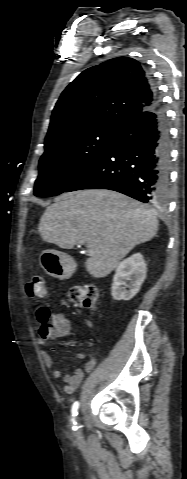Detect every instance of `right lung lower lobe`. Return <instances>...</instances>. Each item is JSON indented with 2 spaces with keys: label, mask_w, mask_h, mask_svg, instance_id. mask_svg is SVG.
Returning a JSON list of instances; mask_svg holds the SVG:
<instances>
[{
  "label": "right lung lower lobe",
  "mask_w": 187,
  "mask_h": 479,
  "mask_svg": "<svg viewBox=\"0 0 187 479\" xmlns=\"http://www.w3.org/2000/svg\"><path fill=\"white\" fill-rule=\"evenodd\" d=\"M149 82L154 86L150 78ZM169 167V128L158 98L153 107L121 128L105 152L65 192L110 189L144 203H161L169 190Z\"/></svg>",
  "instance_id": "1"
}]
</instances>
